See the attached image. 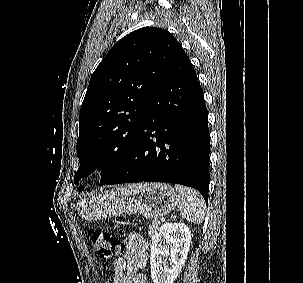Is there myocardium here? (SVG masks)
Listing matches in <instances>:
<instances>
[{
    "label": "myocardium",
    "mask_w": 303,
    "mask_h": 283,
    "mask_svg": "<svg viewBox=\"0 0 303 283\" xmlns=\"http://www.w3.org/2000/svg\"><path fill=\"white\" fill-rule=\"evenodd\" d=\"M111 157V153H106L101 159L102 163H108L111 160Z\"/></svg>",
    "instance_id": "f54148a6"
}]
</instances>
